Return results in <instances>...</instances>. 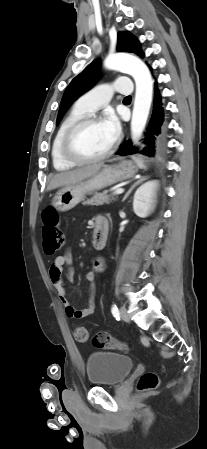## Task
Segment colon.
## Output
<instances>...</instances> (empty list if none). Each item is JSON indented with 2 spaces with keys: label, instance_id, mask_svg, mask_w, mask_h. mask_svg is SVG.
<instances>
[{
  "label": "colon",
  "instance_id": "colon-1",
  "mask_svg": "<svg viewBox=\"0 0 207 449\" xmlns=\"http://www.w3.org/2000/svg\"><path fill=\"white\" fill-rule=\"evenodd\" d=\"M42 245L46 255H54L64 244L65 238L59 226V215L53 207L42 212ZM74 336L79 342H92L94 346L107 349L126 350V346L107 332H98L90 337L85 327L76 325ZM159 384V377L154 372L144 373L138 381L140 391L154 390Z\"/></svg>",
  "mask_w": 207,
  "mask_h": 449
}]
</instances>
